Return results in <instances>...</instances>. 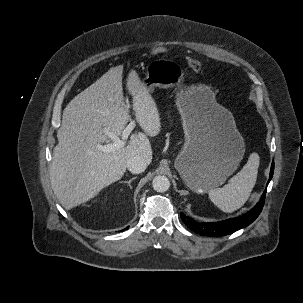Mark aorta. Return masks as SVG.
Listing matches in <instances>:
<instances>
[{"label":"aorta","mask_w":303,"mask_h":303,"mask_svg":"<svg viewBox=\"0 0 303 303\" xmlns=\"http://www.w3.org/2000/svg\"><path fill=\"white\" fill-rule=\"evenodd\" d=\"M153 189L157 192H165L170 187L169 179L164 175L155 176L152 181Z\"/></svg>","instance_id":"aorta-1"}]
</instances>
